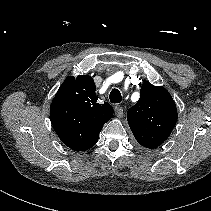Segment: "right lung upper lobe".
Listing matches in <instances>:
<instances>
[{
  "label": "right lung upper lobe",
  "mask_w": 211,
  "mask_h": 211,
  "mask_svg": "<svg viewBox=\"0 0 211 211\" xmlns=\"http://www.w3.org/2000/svg\"><path fill=\"white\" fill-rule=\"evenodd\" d=\"M95 91L92 77L80 75L77 78L68 77L56 93L55 98L72 104V124L55 129V132L63 143L75 151H83L113 116V107L107 102L99 104Z\"/></svg>",
  "instance_id": "cb5924a9"
}]
</instances>
